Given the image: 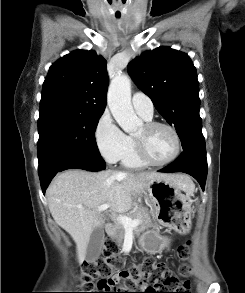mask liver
Here are the masks:
<instances>
[{
    "mask_svg": "<svg viewBox=\"0 0 245 293\" xmlns=\"http://www.w3.org/2000/svg\"><path fill=\"white\" fill-rule=\"evenodd\" d=\"M164 179L174 181L186 192L194 188L182 174L110 170L93 173L77 169L59 174L46 191L48 207L55 222L75 241L79 263L86 258L92 231L105 222L97 211L99 206L109 204L113 212H128L134 206V196H142L150 182Z\"/></svg>",
    "mask_w": 245,
    "mask_h": 293,
    "instance_id": "liver-1",
    "label": "liver"
}]
</instances>
